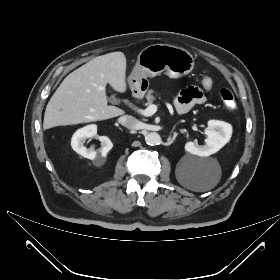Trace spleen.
<instances>
[{"label":"spleen","mask_w":280,"mask_h":280,"mask_svg":"<svg viewBox=\"0 0 280 280\" xmlns=\"http://www.w3.org/2000/svg\"><path fill=\"white\" fill-rule=\"evenodd\" d=\"M217 183H218V181H215L214 183L205 186L203 190L212 189Z\"/></svg>","instance_id":"1"}]
</instances>
